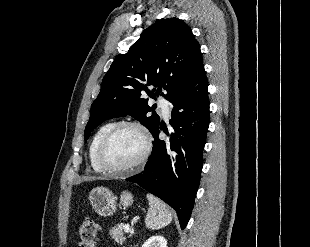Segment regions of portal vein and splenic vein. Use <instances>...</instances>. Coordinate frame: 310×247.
<instances>
[{"mask_svg": "<svg viewBox=\"0 0 310 247\" xmlns=\"http://www.w3.org/2000/svg\"><path fill=\"white\" fill-rule=\"evenodd\" d=\"M123 229H124L125 232H130L131 231V228H130V226L128 224H125L123 226Z\"/></svg>", "mask_w": 310, "mask_h": 247, "instance_id": "obj_1", "label": "portal vein and splenic vein"}]
</instances>
